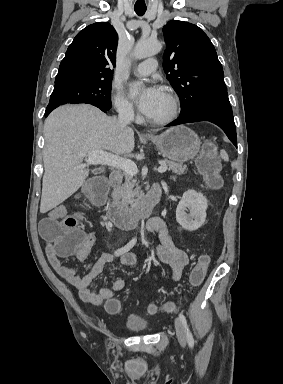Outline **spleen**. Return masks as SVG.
<instances>
[{
    "instance_id": "spleen-1",
    "label": "spleen",
    "mask_w": 283,
    "mask_h": 384,
    "mask_svg": "<svg viewBox=\"0 0 283 384\" xmlns=\"http://www.w3.org/2000/svg\"><path fill=\"white\" fill-rule=\"evenodd\" d=\"M220 156H221L222 160H224V162H228L229 158H228V154H227V152H225V150H220Z\"/></svg>"
}]
</instances>
